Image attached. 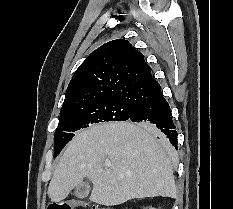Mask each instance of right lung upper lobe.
<instances>
[{"label": "right lung upper lobe", "instance_id": "1", "mask_svg": "<svg viewBox=\"0 0 233 209\" xmlns=\"http://www.w3.org/2000/svg\"><path fill=\"white\" fill-rule=\"evenodd\" d=\"M160 92L144 56L127 40L117 39L93 51L76 70L67 87L61 114L105 99L141 105Z\"/></svg>", "mask_w": 233, "mask_h": 209}]
</instances>
